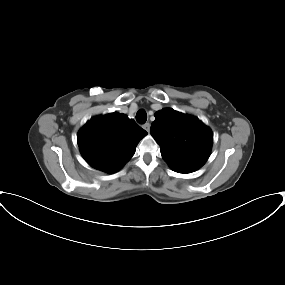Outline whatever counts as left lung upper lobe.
Instances as JSON below:
<instances>
[{
  "label": "left lung upper lobe",
  "instance_id": "5c2ea615",
  "mask_svg": "<svg viewBox=\"0 0 285 285\" xmlns=\"http://www.w3.org/2000/svg\"><path fill=\"white\" fill-rule=\"evenodd\" d=\"M150 133L160 145L163 159L176 172H193L210 156L212 131L194 116L164 108L155 113Z\"/></svg>",
  "mask_w": 285,
  "mask_h": 285
}]
</instances>
